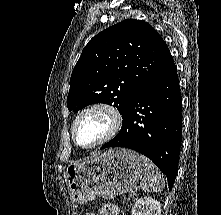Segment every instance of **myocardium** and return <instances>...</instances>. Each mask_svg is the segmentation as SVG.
<instances>
[{
  "label": "myocardium",
  "instance_id": "f54148a6",
  "mask_svg": "<svg viewBox=\"0 0 221 215\" xmlns=\"http://www.w3.org/2000/svg\"><path fill=\"white\" fill-rule=\"evenodd\" d=\"M94 110L103 111L108 115L110 119V128L108 132L94 144L83 146L77 141L76 126L78 122L80 121V119L86 113L94 111ZM122 124H123L122 115L115 105L108 103V102H104V101L93 102L83 107L76 115L72 123V127H71L72 138L76 146L82 149H87V150L94 149L112 140L119 133L122 127Z\"/></svg>",
  "mask_w": 221,
  "mask_h": 215
}]
</instances>
